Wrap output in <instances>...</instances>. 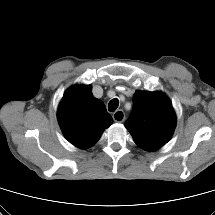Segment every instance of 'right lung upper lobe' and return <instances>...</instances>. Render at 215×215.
<instances>
[{"label": "right lung upper lobe", "mask_w": 215, "mask_h": 215, "mask_svg": "<svg viewBox=\"0 0 215 215\" xmlns=\"http://www.w3.org/2000/svg\"><path fill=\"white\" fill-rule=\"evenodd\" d=\"M58 121L65 138L74 146H93L113 119L104 103L92 94L91 85H74L58 107Z\"/></svg>", "instance_id": "right-lung-upper-lobe-1"}]
</instances>
